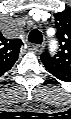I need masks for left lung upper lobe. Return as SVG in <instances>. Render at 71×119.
<instances>
[{
	"mask_svg": "<svg viewBox=\"0 0 71 119\" xmlns=\"http://www.w3.org/2000/svg\"><path fill=\"white\" fill-rule=\"evenodd\" d=\"M54 17L59 51L54 56H51L48 51L43 52L41 61L46 68L71 73V9L56 13Z\"/></svg>",
	"mask_w": 71,
	"mask_h": 119,
	"instance_id": "1",
	"label": "left lung upper lobe"
}]
</instances>
